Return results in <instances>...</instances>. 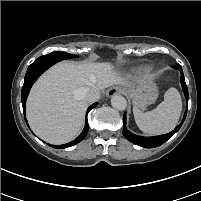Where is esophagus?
<instances>
[{"label": "esophagus", "mask_w": 201, "mask_h": 201, "mask_svg": "<svg viewBox=\"0 0 201 201\" xmlns=\"http://www.w3.org/2000/svg\"><path fill=\"white\" fill-rule=\"evenodd\" d=\"M120 92H121V88H120V87H117V86L111 87V88L108 90V92H107V96H108V97H112V96H114V95H116V94H118V93H120Z\"/></svg>", "instance_id": "obj_1"}]
</instances>
